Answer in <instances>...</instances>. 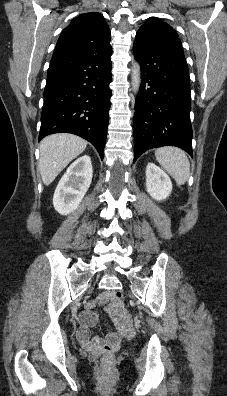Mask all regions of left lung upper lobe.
Here are the masks:
<instances>
[{"mask_svg":"<svg viewBox=\"0 0 227 396\" xmlns=\"http://www.w3.org/2000/svg\"><path fill=\"white\" fill-rule=\"evenodd\" d=\"M136 39L149 45H163L183 52L176 31L156 17H150L136 33Z\"/></svg>","mask_w":227,"mask_h":396,"instance_id":"left-lung-upper-lobe-1","label":"left lung upper lobe"}]
</instances>
